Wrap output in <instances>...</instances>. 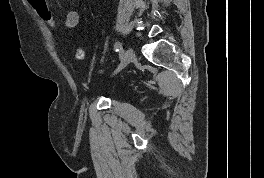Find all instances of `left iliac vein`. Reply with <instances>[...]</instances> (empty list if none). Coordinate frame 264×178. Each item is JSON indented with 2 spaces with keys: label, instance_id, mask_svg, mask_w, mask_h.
Masks as SVG:
<instances>
[{
  "label": "left iliac vein",
  "instance_id": "4c4485c4",
  "mask_svg": "<svg viewBox=\"0 0 264 178\" xmlns=\"http://www.w3.org/2000/svg\"><path fill=\"white\" fill-rule=\"evenodd\" d=\"M135 57L134 51L131 47H129L123 54L120 64L117 67V69L115 70V73L119 72L120 70H122L123 68H125L129 63H131L133 61Z\"/></svg>",
  "mask_w": 264,
  "mask_h": 178
}]
</instances>
